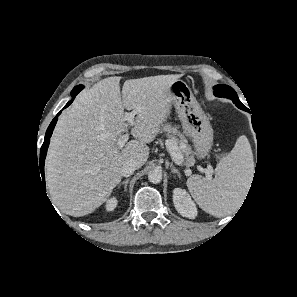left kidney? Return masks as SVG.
Returning <instances> with one entry per match:
<instances>
[{
    "mask_svg": "<svg viewBox=\"0 0 297 297\" xmlns=\"http://www.w3.org/2000/svg\"><path fill=\"white\" fill-rule=\"evenodd\" d=\"M173 202L176 210L183 217L194 219L197 216V208L186 190L175 188L173 191Z\"/></svg>",
    "mask_w": 297,
    "mask_h": 297,
    "instance_id": "5707ae66",
    "label": "left kidney"
}]
</instances>
